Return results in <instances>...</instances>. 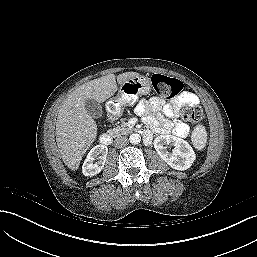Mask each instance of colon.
<instances>
[{"label":"colon","mask_w":257,"mask_h":257,"mask_svg":"<svg viewBox=\"0 0 257 257\" xmlns=\"http://www.w3.org/2000/svg\"><path fill=\"white\" fill-rule=\"evenodd\" d=\"M152 85L155 94L162 99L176 96L183 89L181 81L162 74L152 76ZM182 118L187 122L199 123L203 119V113L199 107H187L182 111Z\"/></svg>","instance_id":"5ec220e1"}]
</instances>
